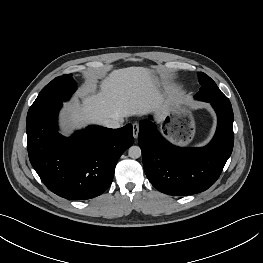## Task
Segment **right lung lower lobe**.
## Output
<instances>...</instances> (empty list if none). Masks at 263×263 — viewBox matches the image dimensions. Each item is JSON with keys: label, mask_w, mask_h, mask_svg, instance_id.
Wrapping results in <instances>:
<instances>
[{"label": "right lung lower lobe", "mask_w": 263, "mask_h": 263, "mask_svg": "<svg viewBox=\"0 0 263 263\" xmlns=\"http://www.w3.org/2000/svg\"><path fill=\"white\" fill-rule=\"evenodd\" d=\"M62 103L27 119L30 162L46 187L66 199L102 194L112 183L115 166L133 142L132 125L120 129L89 126L64 137L57 131Z\"/></svg>", "instance_id": "right-lung-lower-lobe-1"}]
</instances>
